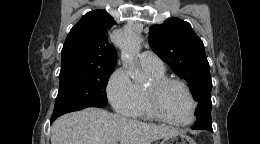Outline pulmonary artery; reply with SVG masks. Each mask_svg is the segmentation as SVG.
<instances>
[{"label": "pulmonary artery", "mask_w": 260, "mask_h": 144, "mask_svg": "<svg viewBox=\"0 0 260 144\" xmlns=\"http://www.w3.org/2000/svg\"><path fill=\"white\" fill-rule=\"evenodd\" d=\"M140 63L145 68L155 71H164V65L162 60L151 51H144L141 54Z\"/></svg>", "instance_id": "1"}]
</instances>
